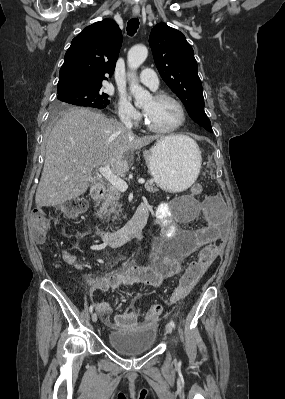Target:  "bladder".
Wrapping results in <instances>:
<instances>
[{
  "label": "bladder",
  "mask_w": 285,
  "mask_h": 399,
  "mask_svg": "<svg viewBox=\"0 0 285 399\" xmlns=\"http://www.w3.org/2000/svg\"><path fill=\"white\" fill-rule=\"evenodd\" d=\"M180 200H193L182 196ZM156 328L152 326L135 327L107 335L108 345L125 357H136L149 352L156 342Z\"/></svg>",
  "instance_id": "1"
}]
</instances>
